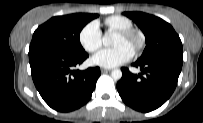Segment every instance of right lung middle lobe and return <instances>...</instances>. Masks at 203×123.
<instances>
[{
	"label": "right lung middle lobe",
	"instance_id": "obj_1",
	"mask_svg": "<svg viewBox=\"0 0 203 123\" xmlns=\"http://www.w3.org/2000/svg\"><path fill=\"white\" fill-rule=\"evenodd\" d=\"M98 14L76 13L57 16L39 26L30 47L39 46L72 54L85 52L79 36L83 27Z\"/></svg>",
	"mask_w": 203,
	"mask_h": 123
}]
</instances>
